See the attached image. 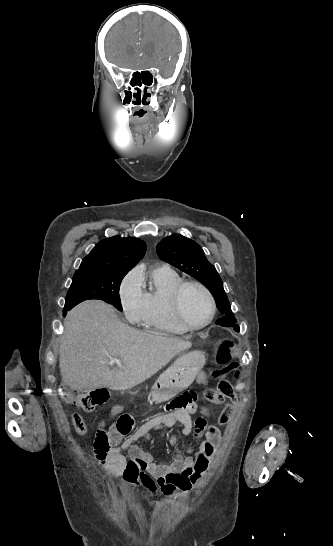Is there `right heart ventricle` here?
<instances>
[{
  "mask_svg": "<svg viewBox=\"0 0 333 546\" xmlns=\"http://www.w3.org/2000/svg\"><path fill=\"white\" fill-rule=\"evenodd\" d=\"M182 277L167 266L152 269L146 278L141 280V291L144 301L143 326L151 331L183 335V329L175 320L170 308V296Z\"/></svg>",
  "mask_w": 333,
  "mask_h": 546,
  "instance_id": "right-heart-ventricle-1",
  "label": "right heart ventricle"
}]
</instances>
